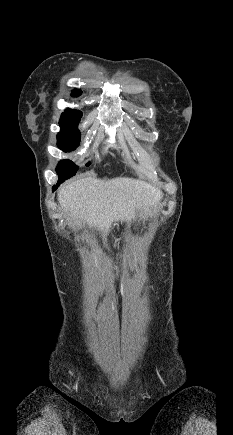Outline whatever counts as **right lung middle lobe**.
<instances>
[{
  "label": "right lung middle lobe",
  "instance_id": "obj_1",
  "mask_svg": "<svg viewBox=\"0 0 233 435\" xmlns=\"http://www.w3.org/2000/svg\"><path fill=\"white\" fill-rule=\"evenodd\" d=\"M80 118L60 123L61 131L58 133L57 145L64 152L75 150L80 144V133L77 129ZM87 163L86 166H89ZM78 167L70 160H62L58 164L56 171L58 173V182L62 183L68 178L74 176Z\"/></svg>",
  "mask_w": 233,
  "mask_h": 435
}]
</instances>
